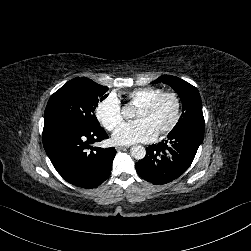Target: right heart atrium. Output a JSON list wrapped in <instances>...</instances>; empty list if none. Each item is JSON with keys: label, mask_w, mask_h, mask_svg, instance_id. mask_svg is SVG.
<instances>
[{"label": "right heart atrium", "mask_w": 251, "mask_h": 251, "mask_svg": "<svg viewBox=\"0 0 251 251\" xmlns=\"http://www.w3.org/2000/svg\"><path fill=\"white\" fill-rule=\"evenodd\" d=\"M95 115L107 130H114L123 119L119 96L109 93L103 97L95 107Z\"/></svg>", "instance_id": "1"}]
</instances>
